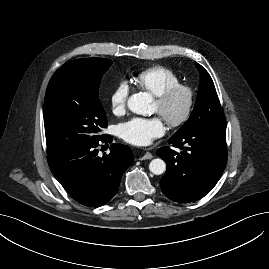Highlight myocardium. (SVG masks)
<instances>
[{"mask_svg":"<svg viewBox=\"0 0 269 269\" xmlns=\"http://www.w3.org/2000/svg\"><path fill=\"white\" fill-rule=\"evenodd\" d=\"M178 92H183L186 95V103L182 112L178 116L176 117L162 116V118L170 127H180L183 124H185L190 118L195 100V93L193 88L187 84L178 83L166 88L161 93L154 96L155 101L161 107H164Z\"/></svg>","mask_w":269,"mask_h":269,"instance_id":"1","label":"myocardium"}]
</instances>
